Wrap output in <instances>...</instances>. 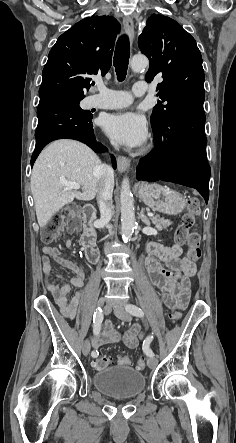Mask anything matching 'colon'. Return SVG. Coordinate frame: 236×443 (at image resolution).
<instances>
[{"instance_id":"colon-1","label":"colon","mask_w":236,"mask_h":443,"mask_svg":"<svg viewBox=\"0 0 236 443\" xmlns=\"http://www.w3.org/2000/svg\"><path fill=\"white\" fill-rule=\"evenodd\" d=\"M200 213V203L197 198H189L187 202L186 212L182 217L181 223L175 232V241L178 244H186L187 255L192 262H196L201 257L200 249V235L196 232H190V229L195 224V219ZM65 224L71 231L77 230L81 224V214L78 208L69 207L65 212L55 215L51 218L41 230V239L45 243H51L61 236ZM170 320L177 322L181 318V314L178 311L170 314ZM123 365H130L131 359L128 356H121L113 358L109 356H100L93 361V366L96 369L107 368L114 363ZM146 367V360L141 358L138 361L137 368L144 370Z\"/></svg>"}]
</instances>
